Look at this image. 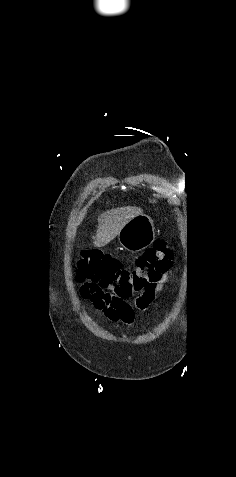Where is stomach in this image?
<instances>
[{
	"instance_id": "stomach-1",
	"label": "stomach",
	"mask_w": 236,
	"mask_h": 477,
	"mask_svg": "<svg viewBox=\"0 0 236 477\" xmlns=\"http://www.w3.org/2000/svg\"><path fill=\"white\" fill-rule=\"evenodd\" d=\"M155 239L153 220L144 214L130 219L118 234L119 244L127 251L139 252Z\"/></svg>"
}]
</instances>
